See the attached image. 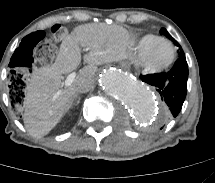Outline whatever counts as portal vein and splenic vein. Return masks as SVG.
Masks as SVG:
<instances>
[{
	"mask_svg": "<svg viewBox=\"0 0 215 183\" xmlns=\"http://www.w3.org/2000/svg\"><path fill=\"white\" fill-rule=\"evenodd\" d=\"M85 50L88 51V49H85ZM75 78H76V73H75V72L70 73V74L67 76L64 85H65L66 87H67V86H70V85L73 83V81L75 80ZM60 93H61V90L57 92V95H59Z\"/></svg>",
	"mask_w": 215,
	"mask_h": 183,
	"instance_id": "1",
	"label": "portal vein and splenic vein"
}]
</instances>
